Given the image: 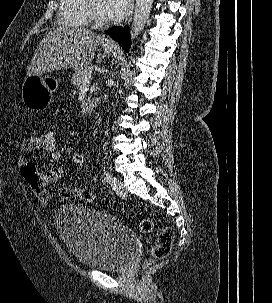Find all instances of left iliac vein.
I'll return each instance as SVG.
<instances>
[{"mask_svg": "<svg viewBox=\"0 0 272 303\" xmlns=\"http://www.w3.org/2000/svg\"><path fill=\"white\" fill-rule=\"evenodd\" d=\"M110 185L117 195L123 197L127 195V190L124 188L122 182L117 177H112L110 179Z\"/></svg>", "mask_w": 272, "mask_h": 303, "instance_id": "obj_1", "label": "left iliac vein"}]
</instances>
